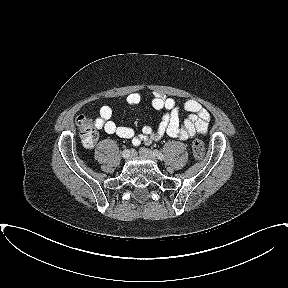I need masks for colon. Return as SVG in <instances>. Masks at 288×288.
Returning <instances> with one entry per match:
<instances>
[{
	"mask_svg": "<svg viewBox=\"0 0 288 288\" xmlns=\"http://www.w3.org/2000/svg\"><path fill=\"white\" fill-rule=\"evenodd\" d=\"M77 127L80 137L86 146H93L98 140V131L94 119L90 116L81 115L77 118ZM192 152L196 159L200 160L205 155L204 143L195 138L192 143Z\"/></svg>",
	"mask_w": 288,
	"mask_h": 288,
	"instance_id": "colon-1",
	"label": "colon"
}]
</instances>
